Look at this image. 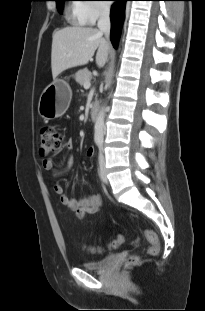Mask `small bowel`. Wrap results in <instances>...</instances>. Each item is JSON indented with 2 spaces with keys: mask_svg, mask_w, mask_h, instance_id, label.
<instances>
[{
  "mask_svg": "<svg viewBox=\"0 0 205 311\" xmlns=\"http://www.w3.org/2000/svg\"><path fill=\"white\" fill-rule=\"evenodd\" d=\"M73 148V142L71 139H67L63 144L64 150H71ZM96 152L93 148H89L86 151V157L91 160L95 157ZM43 168L52 173L54 176L59 177L67 174L72 166V159L67 158L66 166L62 169H55L54 163L51 158H45L42 161ZM54 192L58 195L61 203L72 210L77 219H83L86 215L96 214L101 206L100 197L96 194H90L80 199H74L68 196L65 192L63 185L59 181H54L52 184Z\"/></svg>",
  "mask_w": 205,
  "mask_h": 311,
  "instance_id": "small-bowel-1",
  "label": "small bowel"
}]
</instances>
